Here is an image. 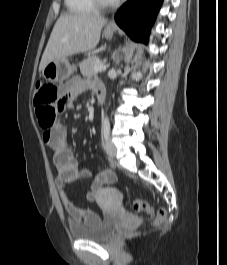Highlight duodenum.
Wrapping results in <instances>:
<instances>
[{
    "instance_id": "obj_1",
    "label": "duodenum",
    "mask_w": 227,
    "mask_h": 265,
    "mask_svg": "<svg viewBox=\"0 0 227 265\" xmlns=\"http://www.w3.org/2000/svg\"><path fill=\"white\" fill-rule=\"evenodd\" d=\"M96 99H97V102L99 104L104 101V99H105V90H104V88H99L96 91Z\"/></svg>"
}]
</instances>
